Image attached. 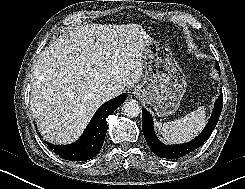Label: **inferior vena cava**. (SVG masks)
I'll use <instances>...</instances> for the list:
<instances>
[{
	"instance_id": "inferior-vena-cava-1",
	"label": "inferior vena cava",
	"mask_w": 245,
	"mask_h": 189,
	"mask_svg": "<svg viewBox=\"0 0 245 189\" xmlns=\"http://www.w3.org/2000/svg\"><path fill=\"white\" fill-rule=\"evenodd\" d=\"M116 90L113 87H108L105 92L104 95L106 96V98L110 99L112 97L115 96Z\"/></svg>"
}]
</instances>
